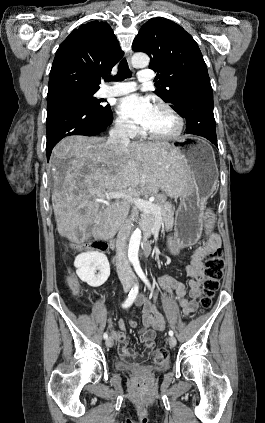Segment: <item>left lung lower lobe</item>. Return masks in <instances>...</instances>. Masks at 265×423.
I'll list each match as a JSON object with an SVG mask.
<instances>
[{
    "mask_svg": "<svg viewBox=\"0 0 265 423\" xmlns=\"http://www.w3.org/2000/svg\"><path fill=\"white\" fill-rule=\"evenodd\" d=\"M176 112L186 119V133L202 136L217 146L210 78L203 76L187 83L179 92Z\"/></svg>",
    "mask_w": 265,
    "mask_h": 423,
    "instance_id": "left-lung-lower-lobe-1",
    "label": "left lung lower lobe"
}]
</instances>
